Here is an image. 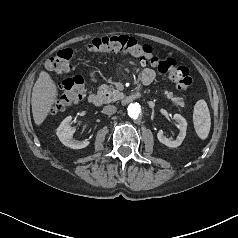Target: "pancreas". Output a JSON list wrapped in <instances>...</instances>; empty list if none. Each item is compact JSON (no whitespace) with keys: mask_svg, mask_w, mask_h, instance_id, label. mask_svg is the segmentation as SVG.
Here are the masks:
<instances>
[{"mask_svg":"<svg viewBox=\"0 0 238 238\" xmlns=\"http://www.w3.org/2000/svg\"><path fill=\"white\" fill-rule=\"evenodd\" d=\"M98 92L101 94V95H104V96H108V100L109 101H118V100H121L124 98V93L123 92H120L118 90H116L112 85H106V84H102L99 88H98ZM163 94L165 95V97L169 100L172 101V103L177 106L178 108L179 107H183L184 106V101H183V98L181 97H177L173 94V92L171 91H166L164 90L163 91Z\"/></svg>","mask_w":238,"mask_h":238,"instance_id":"pancreas-1","label":"pancreas"}]
</instances>
